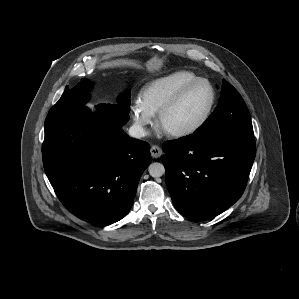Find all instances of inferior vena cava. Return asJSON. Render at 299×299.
Instances as JSON below:
<instances>
[{"label": "inferior vena cava", "mask_w": 299, "mask_h": 299, "mask_svg": "<svg viewBox=\"0 0 299 299\" xmlns=\"http://www.w3.org/2000/svg\"><path fill=\"white\" fill-rule=\"evenodd\" d=\"M129 135L133 138H141L147 135V132L145 131V129L138 124H134L129 128L128 131Z\"/></svg>", "instance_id": "1"}]
</instances>
